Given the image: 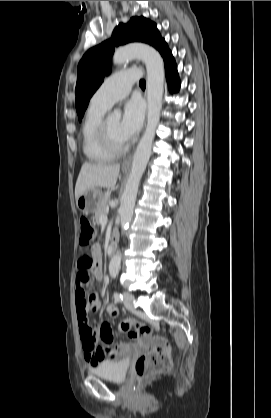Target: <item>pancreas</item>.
Listing matches in <instances>:
<instances>
[{
  "label": "pancreas",
  "instance_id": "cf45deb5",
  "mask_svg": "<svg viewBox=\"0 0 271 418\" xmlns=\"http://www.w3.org/2000/svg\"><path fill=\"white\" fill-rule=\"evenodd\" d=\"M110 199V192L107 191L103 194V197L99 203V206L95 212V219L96 222L99 224L100 223V218L106 214L107 212V204H108V200Z\"/></svg>",
  "mask_w": 271,
  "mask_h": 418
}]
</instances>
